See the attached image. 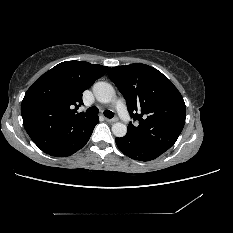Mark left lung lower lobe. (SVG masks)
I'll use <instances>...</instances> for the list:
<instances>
[{"label": "left lung lower lobe", "instance_id": "1", "mask_svg": "<svg viewBox=\"0 0 233 233\" xmlns=\"http://www.w3.org/2000/svg\"><path fill=\"white\" fill-rule=\"evenodd\" d=\"M115 140L120 151L135 160L150 161L164 153L156 149L145 147L127 135L121 138H116Z\"/></svg>", "mask_w": 233, "mask_h": 233}]
</instances>
